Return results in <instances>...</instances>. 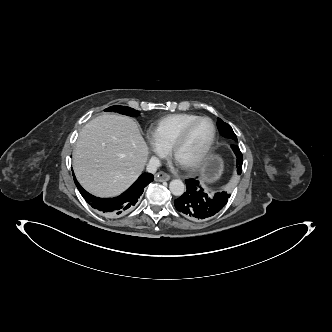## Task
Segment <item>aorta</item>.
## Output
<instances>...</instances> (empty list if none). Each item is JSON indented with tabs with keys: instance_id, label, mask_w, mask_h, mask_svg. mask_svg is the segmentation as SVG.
Here are the masks:
<instances>
[{
	"instance_id": "762f6f07",
	"label": "aorta",
	"mask_w": 332,
	"mask_h": 332,
	"mask_svg": "<svg viewBox=\"0 0 332 332\" xmlns=\"http://www.w3.org/2000/svg\"><path fill=\"white\" fill-rule=\"evenodd\" d=\"M169 189L173 195L181 196L185 192V185L181 180L174 179L170 182Z\"/></svg>"
}]
</instances>
